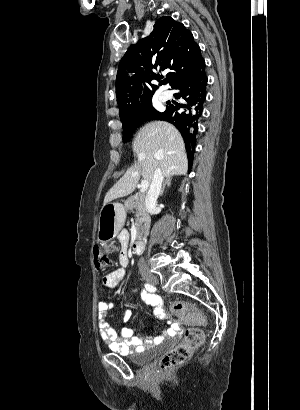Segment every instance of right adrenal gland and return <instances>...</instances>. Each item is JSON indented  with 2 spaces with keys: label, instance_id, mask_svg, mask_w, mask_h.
I'll return each mask as SVG.
<instances>
[{
  "label": "right adrenal gland",
  "instance_id": "right-adrenal-gland-1",
  "mask_svg": "<svg viewBox=\"0 0 300 410\" xmlns=\"http://www.w3.org/2000/svg\"><path fill=\"white\" fill-rule=\"evenodd\" d=\"M171 181H172V177H171V176L166 177V179H165V181H164V183H163V186H162V188H161V191H160V196L163 195L166 186L169 187V186L171 185Z\"/></svg>",
  "mask_w": 300,
  "mask_h": 410
}]
</instances>
